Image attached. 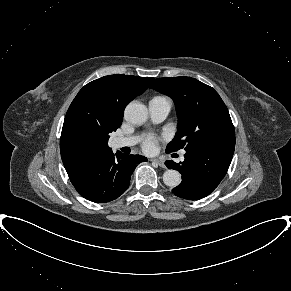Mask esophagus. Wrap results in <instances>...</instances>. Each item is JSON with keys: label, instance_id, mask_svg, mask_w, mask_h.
Here are the masks:
<instances>
[{"label": "esophagus", "instance_id": "1", "mask_svg": "<svg viewBox=\"0 0 291 291\" xmlns=\"http://www.w3.org/2000/svg\"><path fill=\"white\" fill-rule=\"evenodd\" d=\"M151 161L157 163L160 167H165V164L161 159H152Z\"/></svg>", "mask_w": 291, "mask_h": 291}]
</instances>
